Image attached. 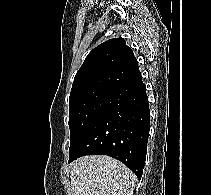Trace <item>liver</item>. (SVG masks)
Returning <instances> with one entry per match:
<instances>
[{
  "label": "liver",
  "mask_w": 211,
  "mask_h": 195,
  "mask_svg": "<svg viewBox=\"0 0 211 195\" xmlns=\"http://www.w3.org/2000/svg\"><path fill=\"white\" fill-rule=\"evenodd\" d=\"M70 179L72 195H132L136 177L122 162L93 155L73 163Z\"/></svg>",
  "instance_id": "6515ba94"
}]
</instances>
